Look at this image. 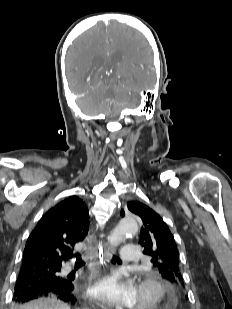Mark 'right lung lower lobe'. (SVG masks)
Masks as SVG:
<instances>
[{
	"label": "right lung lower lobe",
	"instance_id": "obj_1",
	"mask_svg": "<svg viewBox=\"0 0 232 309\" xmlns=\"http://www.w3.org/2000/svg\"><path fill=\"white\" fill-rule=\"evenodd\" d=\"M47 272L38 271L35 269L34 264L31 263L22 264L20 270L22 274H34L39 278ZM73 290L74 285L69 277H60L57 281L50 284L36 281L31 282L25 278L18 277L13 299L16 303H24L40 297H55L67 303H74L76 299Z\"/></svg>",
	"mask_w": 232,
	"mask_h": 309
}]
</instances>
